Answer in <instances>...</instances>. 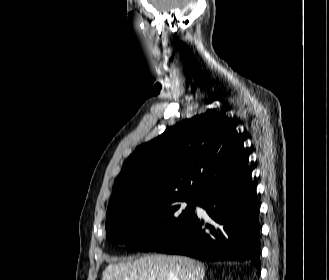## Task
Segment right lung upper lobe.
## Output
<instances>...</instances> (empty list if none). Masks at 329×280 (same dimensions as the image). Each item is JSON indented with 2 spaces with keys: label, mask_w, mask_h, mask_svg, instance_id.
Segmentation results:
<instances>
[{
  "label": "right lung upper lobe",
  "mask_w": 329,
  "mask_h": 280,
  "mask_svg": "<svg viewBox=\"0 0 329 280\" xmlns=\"http://www.w3.org/2000/svg\"><path fill=\"white\" fill-rule=\"evenodd\" d=\"M244 138L224 113L208 110L168 128L126 160L108 208L147 196L194 198L248 161Z\"/></svg>",
  "instance_id": "right-lung-upper-lobe-1"
}]
</instances>
